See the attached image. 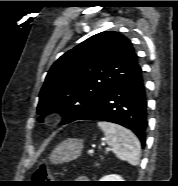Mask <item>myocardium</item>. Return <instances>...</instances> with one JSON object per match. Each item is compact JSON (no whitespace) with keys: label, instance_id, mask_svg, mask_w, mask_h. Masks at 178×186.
Instances as JSON below:
<instances>
[{"label":"myocardium","instance_id":"1","mask_svg":"<svg viewBox=\"0 0 178 186\" xmlns=\"http://www.w3.org/2000/svg\"><path fill=\"white\" fill-rule=\"evenodd\" d=\"M51 120H55V117H51Z\"/></svg>","mask_w":178,"mask_h":186}]
</instances>
